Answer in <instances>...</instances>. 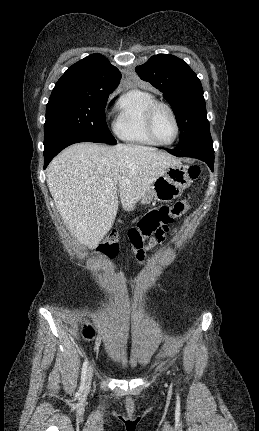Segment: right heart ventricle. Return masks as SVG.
Segmentation results:
<instances>
[{
  "label": "right heart ventricle",
  "instance_id": "obj_1",
  "mask_svg": "<svg viewBox=\"0 0 259 431\" xmlns=\"http://www.w3.org/2000/svg\"><path fill=\"white\" fill-rule=\"evenodd\" d=\"M155 101L156 97L151 92L140 89L128 90L120 97L113 124L114 132L120 140L132 145L156 146L149 137L145 124L146 110Z\"/></svg>",
  "mask_w": 259,
  "mask_h": 431
}]
</instances>
